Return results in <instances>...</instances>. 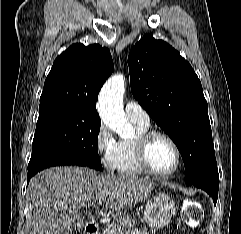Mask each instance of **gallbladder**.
I'll return each instance as SVG.
<instances>
[{
	"label": "gallbladder",
	"mask_w": 241,
	"mask_h": 234,
	"mask_svg": "<svg viewBox=\"0 0 241 234\" xmlns=\"http://www.w3.org/2000/svg\"><path fill=\"white\" fill-rule=\"evenodd\" d=\"M83 219H84V217L81 214H79L77 216L76 222L78 224V229H82L83 228Z\"/></svg>",
	"instance_id": "1"
}]
</instances>
